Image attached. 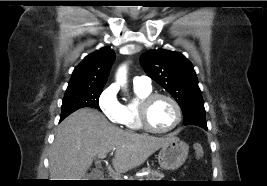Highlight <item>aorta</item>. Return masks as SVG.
<instances>
[{"mask_svg":"<svg viewBox=\"0 0 267 186\" xmlns=\"http://www.w3.org/2000/svg\"><path fill=\"white\" fill-rule=\"evenodd\" d=\"M126 67L123 66L119 69L118 73H117V76H116V80H117V83L124 86L126 84Z\"/></svg>","mask_w":267,"mask_h":186,"instance_id":"aorta-1","label":"aorta"}]
</instances>
